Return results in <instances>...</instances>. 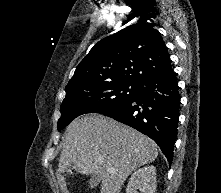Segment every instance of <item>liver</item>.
I'll return each mask as SVG.
<instances>
[{
    "label": "liver",
    "instance_id": "obj_1",
    "mask_svg": "<svg viewBox=\"0 0 221 193\" xmlns=\"http://www.w3.org/2000/svg\"><path fill=\"white\" fill-rule=\"evenodd\" d=\"M157 156V145L149 137L112 118L90 114L76 118L66 128L59 171L72 167L97 176L101 193H120L127 177ZM109 167L114 171H108Z\"/></svg>",
    "mask_w": 221,
    "mask_h": 193
}]
</instances>
